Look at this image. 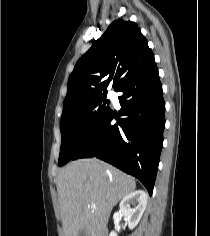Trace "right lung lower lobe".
Wrapping results in <instances>:
<instances>
[{
	"label": "right lung lower lobe",
	"mask_w": 210,
	"mask_h": 236,
	"mask_svg": "<svg viewBox=\"0 0 210 236\" xmlns=\"http://www.w3.org/2000/svg\"><path fill=\"white\" fill-rule=\"evenodd\" d=\"M121 92L120 116L111 125L112 110L82 145L72 160L97 157L138 178L153 192L163 145L165 103L156 64L131 77Z\"/></svg>",
	"instance_id": "1"
}]
</instances>
